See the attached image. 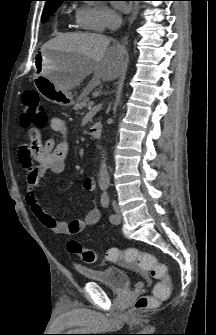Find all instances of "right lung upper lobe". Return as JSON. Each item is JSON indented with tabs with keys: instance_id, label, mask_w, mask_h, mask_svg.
<instances>
[{
	"instance_id": "cb5924a9",
	"label": "right lung upper lobe",
	"mask_w": 216,
	"mask_h": 335,
	"mask_svg": "<svg viewBox=\"0 0 216 335\" xmlns=\"http://www.w3.org/2000/svg\"><path fill=\"white\" fill-rule=\"evenodd\" d=\"M46 1V5H53V4H57V3H62L65 0H45Z\"/></svg>"
}]
</instances>
